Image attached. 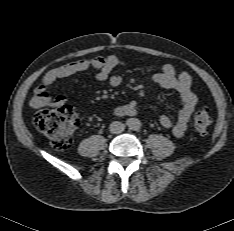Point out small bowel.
Segmentation results:
<instances>
[{
	"label": "small bowel",
	"instance_id": "c3829d8e",
	"mask_svg": "<svg viewBox=\"0 0 234 231\" xmlns=\"http://www.w3.org/2000/svg\"><path fill=\"white\" fill-rule=\"evenodd\" d=\"M125 65V61L116 55L96 56L83 58L78 61L58 66L48 71L41 83L33 91L30 104L33 108L60 107L67 102L63 95L52 97L48 88L57 80L69 77L73 74L87 71L91 68L97 70L96 78L100 81H108L111 87H119L123 79L119 74H112V71ZM147 79L163 88L173 89L179 93L182 106L178 111L177 120L173 121L169 116L160 117L161 124L176 137H182L187 131V124L197 104V95L192 90L191 76L186 72L176 74L174 67L170 64L162 66L161 71L153 73ZM138 102L133 100L128 104L118 105L112 112L118 116H135L138 114Z\"/></svg>",
	"mask_w": 234,
	"mask_h": 231
}]
</instances>
